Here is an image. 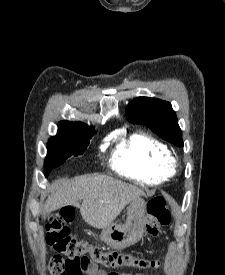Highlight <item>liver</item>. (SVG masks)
<instances>
[{
	"mask_svg": "<svg viewBox=\"0 0 225 275\" xmlns=\"http://www.w3.org/2000/svg\"><path fill=\"white\" fill-rule=\"evenodd\" d=\"M141 196H145V192L137 186L106 175H86L54 181L44 209L50 213L64 206L79 207L85 222L103 229L112 224L132 200Z\"/></svg>",
	"mask_w": 225,
	"mask_h": 275,
	"instance_id": "1",
	"label": "liver"
}]
</instances>
